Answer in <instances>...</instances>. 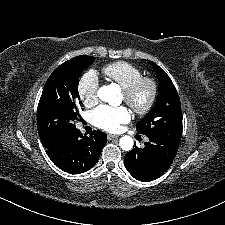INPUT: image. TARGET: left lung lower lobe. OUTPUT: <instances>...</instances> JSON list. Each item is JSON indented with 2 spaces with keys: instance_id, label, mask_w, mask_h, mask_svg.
Returning a JSON list of instances; mask_svg holds the SVG:
<instances>
[{
  "instance_id": "1",
  "label": "left lung lower lobe",
  "mask_w": 225,
  "mask_h": 225,
  "mask_svg": "<svg viewBox=\"0 0 225 225\" xmlns=\"http://www.w3.org/2000/svg\"><path fill=\"white\" fill-rule=\"evenodd\" d=\"M144 148H133L125 155V167L137 180L149 182L163 175L172 164L179 143L164 136H147Z\"/></svg>"
}]
</instances>
